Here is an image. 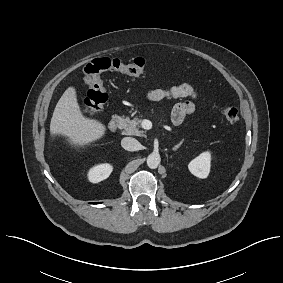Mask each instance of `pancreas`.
Listing matches in <instances>:
<instances>
[{
    "instance_id": "cf45deb5",
    "label": "pancreas",
    "mask_w": 283,
    "mask_h": 283,
    "mask_svg": "<svg viewBox=\"0 0 283 283\" xmlns=\"http://www.w3.org/2000/svg\"><path fill=\"white\" fill-rule=\"evenodd\" d=\"M141 122H142L141 118L135 117L134 119L131 120L129 119V117H126L122 119L121 128L124 129L125 135L145 137L146 135L144 134V131L140 129Z\"/></svg>"
}]
</instances>
